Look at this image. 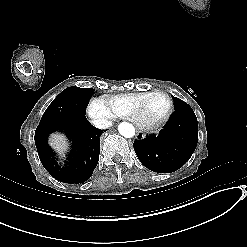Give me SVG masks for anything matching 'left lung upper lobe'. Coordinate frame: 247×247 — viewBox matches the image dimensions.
<instances>
[{
    "instance_id": "1",
    "label": "left lung upper lobe",
    "mask_w": 247,
    "mask_h": 247,
    "mask_svg": "<svg viewBox=\"0 0 247 247\" xmlns=\"http://www.w3.org/2000/svg\"><path fill=\"white\" fill-rule=\"evenodd\" d=\"M172 99L174 101V109L175 111L183 110V109H192L186 102L182 101L179 98L173 97Z\"/></svg>"
}]
</instances>
